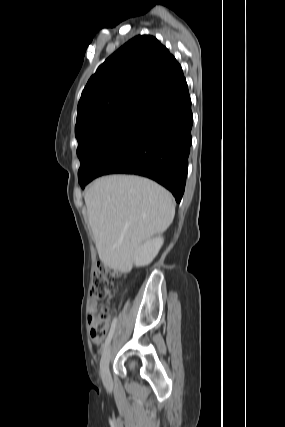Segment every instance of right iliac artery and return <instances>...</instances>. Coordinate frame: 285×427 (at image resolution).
<instances>
[{
    "label": "right iliac artery",
    "mask_w": 285,
    "mask_h": 427,
    "mask_svg": "<svg viewBox=\"0 0 285 427\" xmlns=\"http://www.w3.org/2000/svg\"><path fill=\"white\" fill-rule=\"evenodd\" d=\"M114 331H115V323H113L112 325H111V328H110V331H109V333H108V336H107V338H106V340H105V343L103 344V346H102V349L103 350H105V348L107 347V345L110 343V341H111V339H112V336H113V334H114Z\"/></svg>",
    "instance_id": "obj_1"
}]
</instances>
